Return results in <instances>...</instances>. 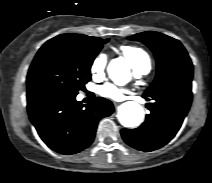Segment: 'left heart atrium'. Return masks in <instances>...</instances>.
Returning a JSON list of instances; mask_svg holds the SVG:
<instances>
[{
	"instance_id": "1",
	"label": "left heart atrium",
	"mask_w": 212,
	"mask_h": 183,
	"mask_svg": "<svg viewBox=\"0 0 212 183\" xmlns=\"http://www.w3.org/2000/svg\"><path fill=\"white\" fill-rule=\"evenodd\" d=\"M126 93V89L118 87L111 83H106L99 88V94L101 96L114 100L122 99Z\"/></svg>"
}]
</instances>
